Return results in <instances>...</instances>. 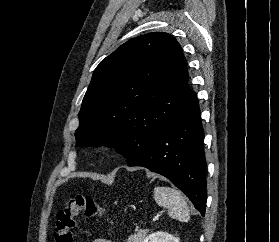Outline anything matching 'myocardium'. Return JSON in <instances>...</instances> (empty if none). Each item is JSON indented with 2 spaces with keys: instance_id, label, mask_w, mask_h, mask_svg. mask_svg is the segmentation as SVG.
Masks as SVG:
<instances>
[{
  "instance_id": "obj_1",
  "label": "myocardium",
  "mask_w": 279,
  "mask_h": 242,
  "mask_svg": "<svg viewBox=\"0 0 279 242\" xmlns=\"http://www.w3.org/2000/svg\"><path fill=\"white\" fill-rule=\"evenodd\" d=\"M106 143H107L106 140H101L97 143V147L101 149V148L105 147Z\"/></svg>"
}]
</instances>
